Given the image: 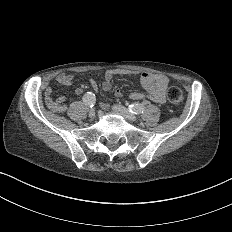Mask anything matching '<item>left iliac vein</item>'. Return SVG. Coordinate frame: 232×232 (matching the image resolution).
<instances>
[{
  "label": "left iliac vein",
  "mask_w": 232,
  "mask_h": 232,
  "mask_svg": "<svg viewBox=\"0 0 232 232\" xmlns=\"http://www.w3.org/2000/svg\"><path fill=\"white\" fill-rule=\"evenodd\" d=\"M112 111L119 113L120 115L124 116L125 118H128L129 121H134L135 120V115L134 114H131L130 111L123 108L122 106H119L117 103H114L112 105Z\"/></svg>",
  "instance_id": "left-iliac-vein-1"
}]
</instances>
